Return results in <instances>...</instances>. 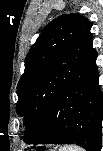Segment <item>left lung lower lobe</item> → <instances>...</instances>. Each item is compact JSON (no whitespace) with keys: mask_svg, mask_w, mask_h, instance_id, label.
Here are the masks:
<instances>
[{"mask_svg":"<svg viewBox=\"0 0 103 151\" xmlns=\"http://www.w3.org/2000/svg\"><path fill=\"white\" fill-rule=\"evenodd\" d=\"M92 39L89 30L32 80L24 115L27 144H77L87 151L101 150L103 94Z\"/></svg>","mask_w":103,"mask_h":151,"instance_id":"1","label":"left lung lower lobe"}]
</instances>
